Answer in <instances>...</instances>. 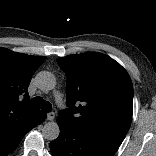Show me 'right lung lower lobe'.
<instances>
[{
	"mask_svg": "<svg viewBox=\"0 0 156 156\" xmlns=\"http://www.w3.org/2000/svg\"><path fill=\"white\" fill-rule=\"evenodd\" d=\"M46 114L39 111L36 116L26 123H12L0 129V156H6L19 145L24 135L45 119Z\"/></svg>",
	"mask_w": 156,
	"mask_h": 156,
	"instance_id": "98d812e1",
	"label": "right lung lower lobe"
}]
</instances>
